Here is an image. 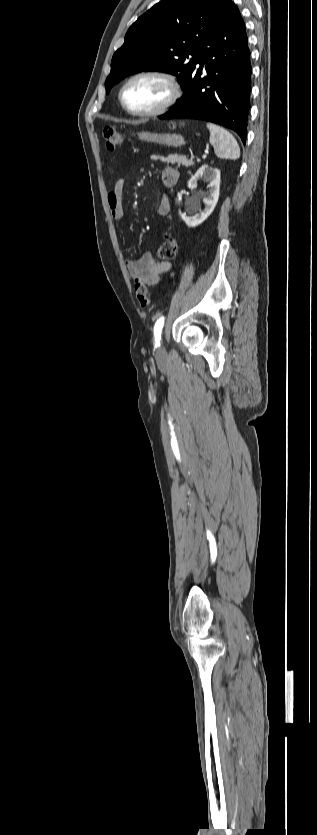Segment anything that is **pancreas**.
Instances as JSON below:
<instances>
[{
    "mask_svg": "<svg viewBox=\"0 0 317 835\" xmlns=\"http://www.w3.org/2000/svg\"><path fill=\"white\" fill-rule=\"evenodd\" d=\"M151 159L160 160L161 162H167V163H171V164H177L178 166L182 165V166L189 167V166L194 165L193 159H187L186 156L181 155V154H170L166 157L162 156V155H152Z\"/></svg>",
    "mask_w": 317,
    "mask_h": 835,
    "instance_id": "cf45deb5",
    "label": "pancreas"
}]
</instances>
